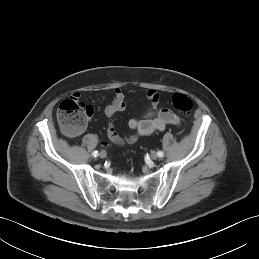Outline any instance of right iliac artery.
Listing matches in <instances>:
<instances>
[{"mask_svg":"<svg viewBox=\"0 0 259 259\" xmlns=\"http://www.w3.org/2000/svg\"><path fill=\"white\" fill-rule=\"evenodd\" d=\"M92 155H93L94 157H97V156L99 155V153H98V151H94V152L92 153Z\"/></svg>","mask_w":259,"mask_h":259,"instance_id":"right-iliac-artery-1","label":"right iliac artery"}]
</instances>
